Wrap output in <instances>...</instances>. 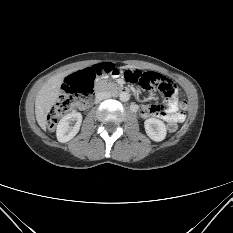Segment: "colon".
Wrapping results in <instances>:
<instances>
[{"mask_svg": "<svg viewBox=\"0 0 233 233\" xmlns=\"http://www.w3.org/2000/svg\"><path fill=\"white\" fill-rule=\"evenodd\" d=\"M105 74L114 76L123 75L127 81L137 83L146 90L158 88L165 93H170L174 88L171 81L155 73H142L137 70L119 71L111 64L93 66L66 78L63 87L64 92L60 95L48 114L47 120L49 128L53 129L59 118L66 114L74 105L87 104L93 96L94 79L97 76ZM186 107V101L179 103V109L181 111H184ZM177 128V123H168L167 125V129L170 132L176 131Z\"/></svg>", "mask_w": 233, "mask_h": 233, "instance_id": "colon-1", "label": "colon"}]
</instances>
